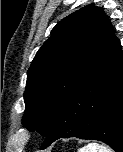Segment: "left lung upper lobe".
<instances>
[{"mask_svg": "<svg viewBox=\"0 0 123 152\" xmlns=\"http://www.w3.org/2000/svg\"><path fill=\"white\" fill-rule=\"evenodd\" d=\"M112 38L102 8L87 5L62 19L27 72L22 123L47 136L58 106Z\"/></svg>", "mask_w": 123, "mask_h": 152, "instance_id": "obj_1", "label": "left lung upper lobe"}]
</instances>
